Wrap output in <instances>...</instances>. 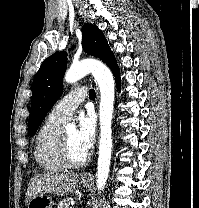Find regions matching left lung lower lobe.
<instances>
[{
	"mask_svg": "<svg viewBox=\"0 0 199 208\" xmlns=\"http://www.w3.org/2000/svg\"><path fill=\"white\" fill-rule=\"evenodd\" d=\"M110 69L112 70V73L115 77L117 88L119 89L120 88V72H119V67H118L117 63L112 65L110 67Z\"/></svg>",
	"mask_w": 199,
	"mask_h": 208,
	"instance_id": "1",
	"label": "left lung lower lobe"
}]
</instances>
